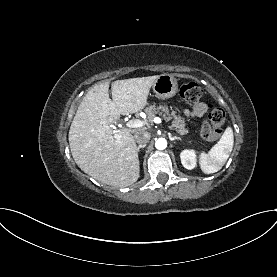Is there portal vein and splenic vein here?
<instances>
[{
    "label": "portal vein and splenic vein",
    "instance_id": "obj_1",
    "mask_svg": "<svg viewBox=\"0 0 277 277\" xmlns=\"http://www.w3.org/2000/svg\"><path fill=\"white\" fill-rule=\"evenodd\" d=\"M153 121L157 124L161 123V118L159 117H154ZM145 125V122L139 119H132L127 122L126 126L128 128H140Z\"/></svg>",
    "mask_w": 277,
    "mask_h": 277
}]
</instances>
